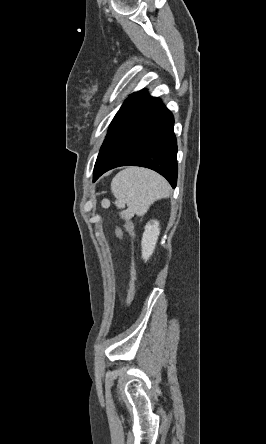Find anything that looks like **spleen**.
Instances as JSON below:
<instances>
[{"instance_id": "3e777b00", "label": "spleen", "mask_w": 266, "mask_h": 444, "mask_svg": "<svg viewBox=\"0 0 266 444\" xmlns=\"http://www.w3.org/2000/svg\"><path fill=\"white\" fill-rule=\"evenodd\" d=\"M111 188L116 198L115 205L118 208L127 205V209L121 212L126 219L145 215L156 200L169 194V185L162 176L138 167L120 171L113 178Z\"/></svg>"}]
</instances>
